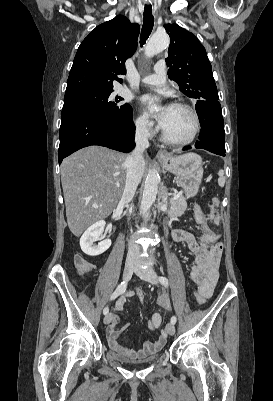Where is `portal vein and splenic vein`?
<instances>
[{"label": "portal vein and splenic vein", "instance_id": "portal-vein-and-splenic-vein-1", "mask_svg": "<svg viewBox=\"0 0 273 401\" xmlns=\"http://www.w3.org/2000/svg\"><path fill=\"white\" fill-rule=\"evenodd\" d=\"M182 196H183L182 190H179L178 194H174V196L171 199V202L177 201Z\"/></svg>", "mask_w": 273, "mask_h": 401}]
</instances>
